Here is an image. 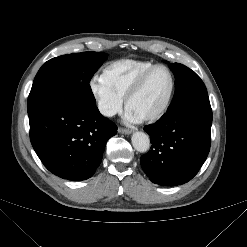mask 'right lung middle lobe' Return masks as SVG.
Segmentation results:
<instances>
[{
	"label": "right lung middle lobe",
	"mask_w": 247,
	"mask_h": 247,
	"mask_svg": "<svg viewBox=\"0 0 247 247\" xmlns=\"http://www.w3.org/2000/svg\"><path fill=\"white\" fill-rule=\"evenodd\" d=\"M106 59L107 54L102 52H82L47 61L34 79L28 108L53 98L95 105L89 82Z\"/></svg>",
	"instance_id": "dd1d6c3e"
}]
</instances>
